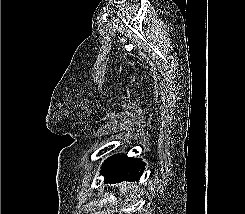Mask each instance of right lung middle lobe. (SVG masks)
I'll return each mask as SVG.
<instances>
[{"label":"right lung middle lobe","mask_w":245,"mask_h":214,"mask_svg":"<svg viewBox=\"0 0 245 214\" xmlns=\"http://www.w3.org/2000/svg\"><path fill=\"white\" fill-rule=\"evenodd\" d=\"M120 159V154L112 156L111 158L107 159L105 163L103 164V169L101 170V173H109L115 168H117L118 160Z\"/></svg>","instance_id":"1"}]
</instances>
